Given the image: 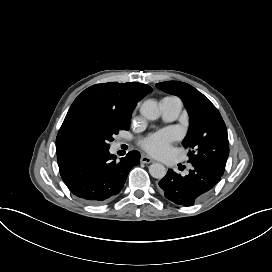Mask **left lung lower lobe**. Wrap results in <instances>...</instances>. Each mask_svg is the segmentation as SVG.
<instances>
[{
	"instance_id": "0a47b994",
	"label": "left lung lower lobe",
	"mask_w": 272,
	"mask_h": 272,
	"mask_svg": "<svg viewBox=\"0 0 272 272\" xmlns=\"http://www.w3.org/2000/svg\"><path fill=\"white\" fill-rule=\"evenodd\" d=\"M192 166L194 169L184 177L170 169L159 182L164 196L177 205L192 206L221 179L222 174L210 167L198 163H192Z\"/></svg>"
}]
</instances>
